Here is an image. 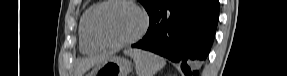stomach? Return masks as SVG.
I'll list each match as a JSON object with an SVG mask.
<instances>
[{
    "label": "stomach",
    "mask_w": 287,
    "mask_h": 76,
    "mask_svg": "<svg viewBox=\"0 0 287 76\" xmlns=\"http://www.w3.org/2000/svg\"><path fill=\"white\" fill-rule=\"evenodd\" d=\"M132 63L124 58L111 56L97 64L87 76H127Z\"/></svg>",
    "instance_id": "1"
}]
</instances>
